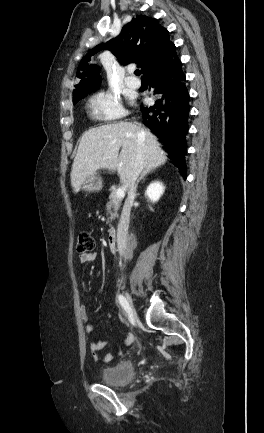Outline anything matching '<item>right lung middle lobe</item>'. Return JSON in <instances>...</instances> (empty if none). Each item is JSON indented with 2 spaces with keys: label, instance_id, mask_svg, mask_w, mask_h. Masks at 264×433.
<instances>
[{
  "label": "right lung middle lobe",
  "instance_id": "1",
  "mask_svg": "<svg viewBox=\"0 0 264 433\" xmlns=\"http://www.w3.org/2000/svg\"><path fill=\"white\" fill-rule=\"evenodd\" d=\"M81 98H82V97H80V98L74 100L73 103L76 104V103H77Z\"/></svg>",
  "mask_w": 264,
  "mask_h": 433
}]
</instances>
